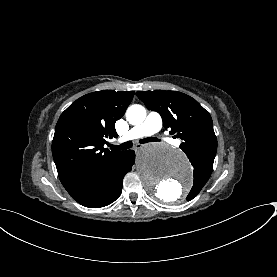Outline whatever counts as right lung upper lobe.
<instances>
[{
    "label": "right lung upper lobe",
    "instance_id": "obj_1",
    "mask_svg": "<svg viewBox=\"0 0 277 277\" xmlns=\"http://www.w3.org/2000/svg\"><path fill=\"white\" fill-rule=\"evenodd\" d=\"M133 91L103 90L86 94L60 116L52 141V154L66 190L111 158L122 154L103 146L118 134L115 122L132 101Z\"/></svg>",
    "mask_w": 277,
    "mask_h": 277
}]
</instances>
